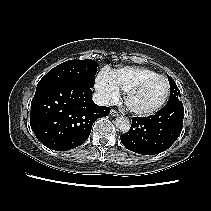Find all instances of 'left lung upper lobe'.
I'll use <instances>...</instances> for the list:
<instances>
[{
  "instance_id": "obj_1",
  "label": "left lung upper lobe",
  "mask_w": 211,
  "mask_h": 211,
  "mask_svg": "<svg viewBox=\"0 0 211 211\" xmlns=\"http://www.w3.org/2000/svg\"><path fill=\"white\" fill-rule=\"evenodd\" d=\"M167 77L170 83V97L168 103L180 101L181 94L175 81L169 75H167Z\"/></svg>"
}]
</instances>
